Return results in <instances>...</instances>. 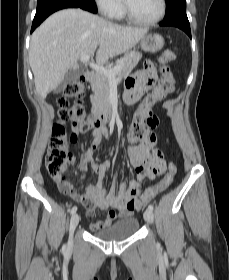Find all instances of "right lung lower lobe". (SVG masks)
<instances>
[{"label": "right lung lower lobe", "instance_id": "98d812e1", "mask_svg": "<svg viewBox=\"0 0 229 280\" xmlns=\"http://www.w3.org/2000/svg\"><path fill=\"white\" fill-rule=\"evenodd\" d=\"M64 8H81L92 13L97 12V8L93 0H38L37 11L32 23L31 33L50 14Z\"/></svg>", "mask_w": 229, "mask_h": 280}]
</instances>
